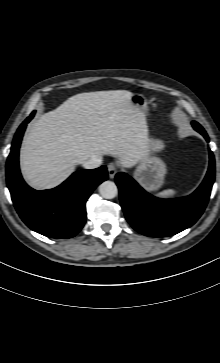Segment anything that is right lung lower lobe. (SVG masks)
I'll use <instances>...</instances> for the list:
<instances>
[{"instance_id": "1", "label": "right lung lower lobe", "mask_w": 220, "mask_h": 363, "mask_svg": "<svg viewBox=\"0 0 220 363\" xmlns=\"http://www.w3.org/2000/svg\"><path fill=\"white\" fill-rule=\"evenodd\" d=\"M32 113L18 128L7 159V187L24 223L32 230L57 239L75 236L85 224L86 201L108 173L105 166L73 173L60 186L43 191L30 188L22 179L18 164L19 147Z\"/></svg>"}]
</instances>
